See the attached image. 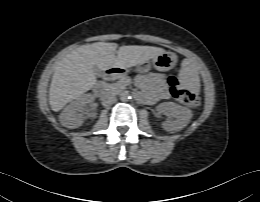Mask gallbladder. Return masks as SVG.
Segmentation results:
<instances>
[{"label":"gallbladder","instance_id":"1","mask_svg":"<svg viewBox=\"0 0 260 202\" xmlns=\"http://www.w3.org/2000/svg\"><path fill=\"white\" fill-rule=\"evenodd\" d=\"M93 70L96 76L98 77L102 76V71L97 66H95Z\"/></svg>","mask_w":260,"mask_h":202}]
</instances>
